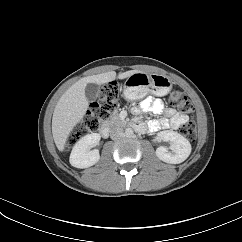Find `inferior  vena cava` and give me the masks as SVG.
<instances>
[{
	"label": "inferior vena cava",
	"instance_id": "obj_1",
	"mask_svg": "<svg viewBox=\"0 0 242 242\" xmlns=\"http://www.w3.org/2000/svg\"><path fill=\"white\" fill-rule=\"evenodd\" d=\"M123 136V130L119 127H113L110 133V137L113 140L119 139Z\"/></svg>",
	"mask_w": 242,
	"mask_h": 242
}]
</instances>
